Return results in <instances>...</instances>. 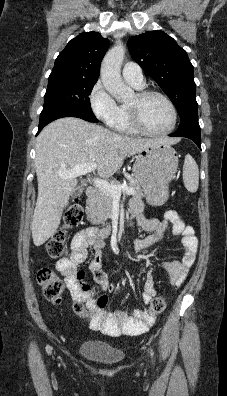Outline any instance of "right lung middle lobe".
I'll return each mask as SVG.
<instances>
[{
    "mask_svg": "<svg viewBox=\"0 0 227 396\" xmlns=\"http://www.w3.org/2000/svg\"><path fill=\"white\" fill-rule=\"evenodd\" d=\"M97 79L51 73L44 96L43 111L67 107L84 114L91 122H98L92 112L89 95Z\"/></svg>",
    "mask_w": 227,
    "mask_h": 396,
    "instance_id": "obj_1",
    "label": "right lung middle lobe"
}]
</instances>
